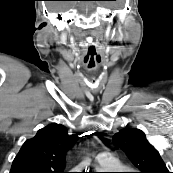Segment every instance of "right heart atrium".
Listing matches in <instances>:
<instances>
[{"instance_id":"1","label":"right heart atrium","mask_w":173,"mask_h":173,"mask_svg":"<svg viewBox=\"0 0 173 173\" xmlns=\"http://www.w3.org/2000/svg\"><path fill=\"white\" fill-rule=\"evenodd\" d=\"M73 169H75L74 170L75 171L74 173H80V171H79L80 167L77 166V167H74Z\"/></svg>"}]
</instances>
